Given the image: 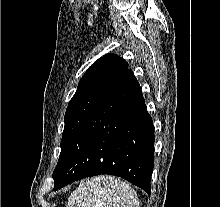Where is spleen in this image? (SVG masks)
Here are the masks:
<instances>
[{"mask_svg":"<svg viewBox=\"0 0 220 207\" xmlns=\"http://www.w3.org/2000/svg\"><path fill=\"white\" fill-rule=\"evenodd\" d=\"M67 207H139V200L126 182L112 176H98L74 190Z\"/></svg>","mask_w":220,"mask_h":207,"instance_id":"3e777b00","label":"spleen"}]
</instances>
